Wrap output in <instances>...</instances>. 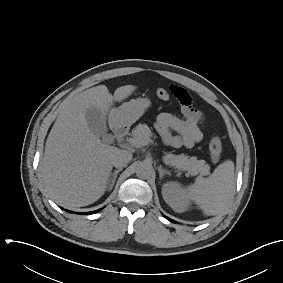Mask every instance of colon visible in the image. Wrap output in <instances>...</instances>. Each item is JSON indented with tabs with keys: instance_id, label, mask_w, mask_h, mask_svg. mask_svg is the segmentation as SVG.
Instances as JSON below:
<instances>
[{
	"instance_id": "1",
	"label": "colon",
	"mask_w": 283,
	"mask_h": 283,
	"mask_svg": "<svg viewBox=\"0 0 283 283\" xmlns=\"http://www.w3.org/2000/svg\"><path fill=\"white\" fill-rule=\"evenodd\" d=\"M155 94L161 100H167L170 96L169 91L164 88H157L155 90ZM222 150L223 147L221 139L217 135L212 136L209 141V152L213 162H218L220 160Z\"/></svg>"
}]
</instances>
